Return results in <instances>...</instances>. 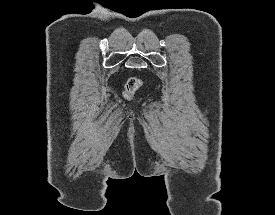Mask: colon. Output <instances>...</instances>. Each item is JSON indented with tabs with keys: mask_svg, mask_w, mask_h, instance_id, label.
Wrapping results in <instances>:
<instances>
[{
	"mask_svg": "<svg viewBox=\"0 0 275 215\" xmlns=\"http://www.w3.org/2000/svg\"><path fill=\"white\" fill-rule=\"evenodd\" d=\"M141 87V82L138 78H130L127 80L124 89V95L126 97H131L136 93Z\"/></svg>",
	"mask_w": 275,
	"mask_h": 215,
	"instance_id": "colon-1",
	"label": "colon"
}]
</instances>
